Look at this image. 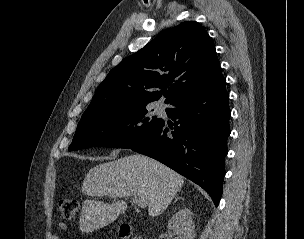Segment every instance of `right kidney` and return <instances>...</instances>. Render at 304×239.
Listing matches in <instances>:
<instances>
[{
	"instance_id": "right-kidney-1",
	"label": "right kidney",
	"mask_w": 304,
	"mask_h": 239,
	"mask_svg": "<svg viewBox=\"0 0 304 239\" xmlns=\"http://www.w3.org/2000/svg\"><path fill=\"white\" fill-rule=\"evenodd\" d=\"M168 229L172 230L179 239H194V222L192 220V212L185 208L179 210L168 221Z\"/></svg>"
}]
</instances>
